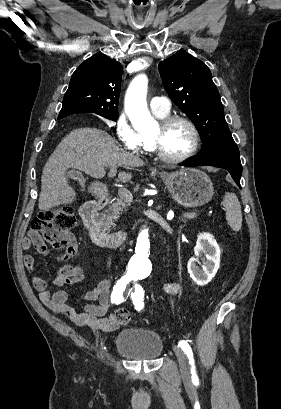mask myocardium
Listing matches in <instances>:
<instances>
[{
	"mask_svg": "<svg viewBox=\"0 0 281 409\" xmlns=\"http://www.w3.org/2000/svg\"><path fill=\"white\" fill-rule=\"evenodd\" d=\"M174 122L184 123L190 130L192 136V144L189 150L181 156H170L166 154L160 146L161 132ZM145 137L147 140L149 151L153 152L158 158L168 163H181L188 160L197 152L200 142L197 127L188 117L183 115H169L162 118L157 123L156 132L151 134L148 133L145 135Z\"/></svg>",
	"mask_w": 281,
	"mask_h": 409,
	"instance_id": "f54148a6",
	"label": "myocardium"
}]
</instances>
